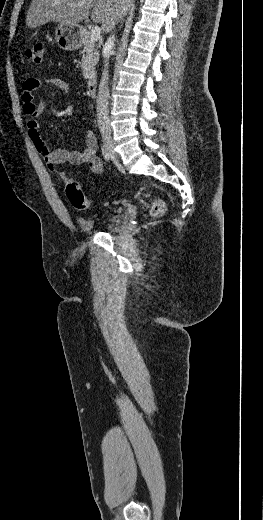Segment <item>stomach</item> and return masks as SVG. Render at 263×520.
Listing matches in <instances>:
<instances>
[{"label":"stomach","instance_id":"0dacf381","mask_svg":"<svg viewBox=\"0 0 263 520\" xmlns=\"http://www.w3.org/2000/svg\"><path fill=\"white\" fill-rule=\"evenodd\" d=\"M58 46L66 51H74L82 45L83 29L79 24L60 23L55 29Z\"/></svg>","mask_w":263,"mask_h":520}]
</instances>
